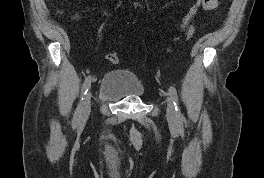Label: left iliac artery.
I'll return each mask as SVG.
<instances>
[{
  "mask_svg": "<svg viewBox=\"0 0 264 178\" xmlns=\"http://www.w3.org/2000/svg\"><path fill=\"white\" fill-rule=\"evenodd\" d=\"M169 94L173 100V104L175 106V110H176V116H177V119L178 121H182L183 120V115L180 111V106H179V100H178V95H177V91L175 89V87L171 86L169 88Z\"/></svg>",
  "mask_w": 264,
  "mask_h": 178,
  "instance_id": "left-iliac-artery-1",
  "label": "left iliac artery"
}]
</instances>
